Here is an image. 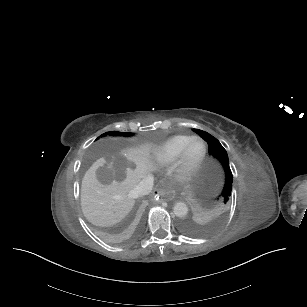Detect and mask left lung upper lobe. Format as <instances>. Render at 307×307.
<instances>
[{
    "mask_svg": "<svg viewBox=\"0 0 307 307\" xmlns=\"http://www.w3.org/2000/svg\"><path fill=\"white\" fill-rule=\"evenodd\" d=\"M193 130L208 143L209 153H211L221 162V164L224 167L226 175L223 191L220 194V196L217 198V200L213 203V213H214L213 221L206 227H197L191 223H185L183 225V229L186 232L194 235H200L211 232L220 223L222 213L231 197L233 176L229 166L227 152L224 149V147L220 144V142L215 137H213L212 135H210L205 131L199 129H193Z\"/></svg>",
    "mask_w": 307,
    "mask_h": 307,
    "instance_id": "5c2ea615",
    "label": "left lung upper lobe"
}]
</instances>
